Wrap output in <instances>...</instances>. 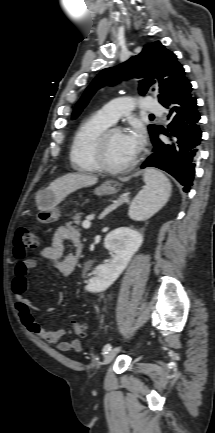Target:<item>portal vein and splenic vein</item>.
Listing matches in <instances>:
<instances>
[{"label":"portal vein and splenic vein","instance_id":"18ae733b","mask_svg":"<svg viewBox=\"0 0 215 433\" xmlns=\"http://www.w3.org/2000/svg\"><path fill=\"white\" fill-rule=\"evenodd\" d=\"M82 226H83V228H85V229L90 228V226H91V222H90V220H89V219L84 220L83 223H82Z\"/></svg>","mask_w":215,"mask_h":433}]
</instances>
